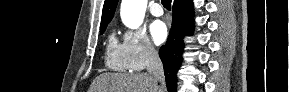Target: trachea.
Here are the masks:
<instances>
[{
  "instance_id": "3493384b",
  "label": "trachea",
  "mask_w": 289,
  "mask_h": 92,
  "mask_svg": "<svg viewBox=\"0 0 289 92\" xmlns=\"http://www.w3.org/2000/svg\"><path fill=\"white\" fill-rule=\"evenodd\" d=\"M162 5H163L167 10H170L171 0H162Z\"/></svg>"
}]
</instances>
